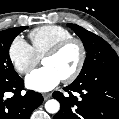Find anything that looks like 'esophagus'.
I'll list each match as a JSON object with an SVG mask.
<instances>
[{
    "label": "esophagus",
    "instance_id": "1",
    "mask_svg": "<svg viewBox=\"0 0 119 119\" xmlns=\"http://www.w3.org/2000/svg\"><path fill=\"white\" fill-rule=\"evenodd\" d=\"M50 97H51V94L50 93H44L43 94L44 100H48Z\"/></svg>",
    "mask_w": 119,
    "mask_h": 119
}]
</instances>
